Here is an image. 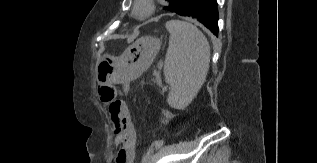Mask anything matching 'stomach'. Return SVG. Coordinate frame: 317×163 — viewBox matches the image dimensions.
I'll return each mask as SVG.
<instances>
[{
    "label": "stomach",
    "mask_w": 317,
    "mask_h": 163,
    "mask_svg": "<svg viewBox=\"0 0 317 163\" xmlns=\"http://www.w3.org/2000/svg\"><path fill=\"white\" fill-rule=\"evenodd\" d=\"M160 47V39L146 36L135 41L119 57L103 55L96 63L97 82L114 84L135 79L151 65Z\"/></svg>",
    "instance_id": "0dacf381"
}]
</instances>
